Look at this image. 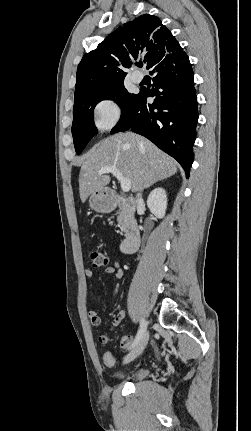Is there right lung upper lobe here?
<instances>
[{"label": "right lung upper lobe", "instance_id": "1", "mask_svg": "<svg viewBox=\"0 0 251 431\" xmlns=\"http://www.w3.org/2000/svg\"><path fill=\"white\" fill-rule=\"evenodd\" d=\"M179 43L154 15L144 14L125 23L86 53L77 69L75 96L98 90L124 80L123 68H130L142 57L147 69Z\"/></svg>", "mask_w": 251, "mask_h": 431}]
</instances>
